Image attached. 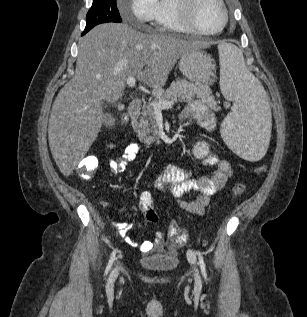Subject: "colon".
<instances>
[{"instance_id": "5ec220e1", "label": "colon", "mask_w": 307, "mask_h": 317, "mask_svg": "<svg viewBox=\"0 0 307 317\" xmlns=\"http://www.w3.org/2000/svg\"><path fill=\"white\" fill-rule=\"evenodd\" d=\"M128 123L125 116L120 120V126L124 127ZM110 143L109 146H112ZM98 168V158L94 155H88L84 157L77 165V171L87 177H92ZM266 167L264 165L258 166L255 171L256 173H263ZM246 190V185L244 183H236L232 188V193L235 196L243 194ZM140 208L145 218L151 222L156 223L159 220L158 214L154 207L153 196L149 192H143L140 195ZM169 235L174 237L181 243L186 242L188 239V233L186 230L180 228L175 222H172L169 226Z\"/></svg>"}]
</instances>
